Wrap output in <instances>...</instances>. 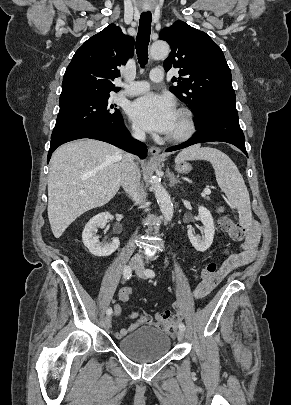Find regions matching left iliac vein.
<instances>
[{
	"mask_svg": "<svg viewBox=\"0 0 291 405\" xmlns=\"http://www.w3.org/2000/svg\"><path fill=\"white\" fill-rule=\"evenodd\" d=\"M144 267L142 265L138 266V268L135 270L136 274L141 277V278H145V272H144ZM185 334L184 331L179 330L177 333V338L179 342H182L184 340Z\"/></svg>",
	"mask_w": 291,
	"mask_h": 405,
	"instance_id": "1",
	"label": "left iliac vein"
}]
</instances>
